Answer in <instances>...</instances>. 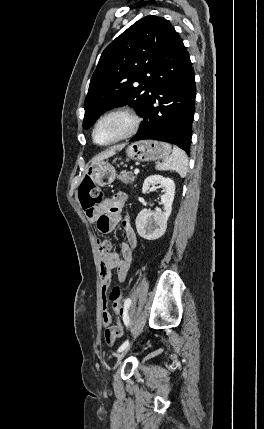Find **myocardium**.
<instances>
[{"label":"myocardium","instance_id":"1","mask_svg":"<svg viewBox=\"0 0 264 429\" xmlns=\"http://www.w3.org/2000/svg\"><path fill=\"white\" fill-rule=\"evenodd\" d=\"M114 116H121V117H125L128 119L129 121V126L127 128V130L121 134L120 136H118L117 138L109 141V142H105V143H100L96 140V130L98 128V126L106 119L110 118V117H114ZM140 117L139 115L130 108L127 107H119V108H115L112 109L106 113H104L103 115H101L95 122L93 129H92V140L96 145L99 146H109L115 143H118L120 141H123L125 139H128L130 137H132L138 130L139 126H140Z\"/></svg>","mask_w":264,"mask_h":429}]
</instances>
